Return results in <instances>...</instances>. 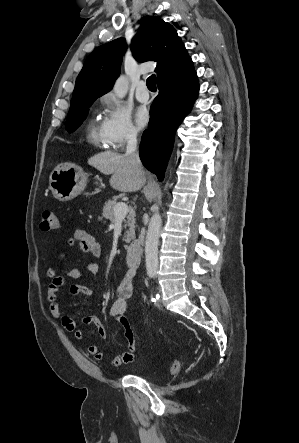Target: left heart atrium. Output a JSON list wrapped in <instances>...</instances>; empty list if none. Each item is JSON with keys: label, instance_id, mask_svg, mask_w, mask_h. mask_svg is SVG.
Wrapping results in <instances>:
<instances>
[{"label": "left heart atrium", "instance_id": "39dd6f15", "mask_svg": "<svg viewBox=\"0 0 299 443\" xmlns=\"http://www.w3.org/2000/svg\"><path fill=\"white\" fill-rule=\"evenodd\" d=\"M136 125L139 128H144L150 120V114L146 107H138L134 114Z\"/></svg>", "mask_w": 299, "mask_h": 443}]
</instances>
